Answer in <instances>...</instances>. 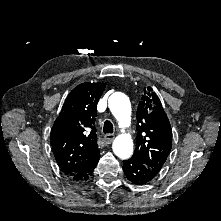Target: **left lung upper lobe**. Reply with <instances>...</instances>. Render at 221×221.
Here are the masks:
<instances>
[{
	"label": "left lung upper lobe",
	"instance_id": "5c2ea615",
	"mask_svg": "<svg viewBox=\"0 0 221 221\" xmlns=\"http://www.w3.org/2000/svg\"><path fill=\"white\" fill-rule=\"evenodd\" d=\"M136 148L132 158L159 173L172 147V129L151 87L144 90L137 109Z\"/></svg>",
	"mask_w": 221,
	"mask_h": 221
}]
</instances>
